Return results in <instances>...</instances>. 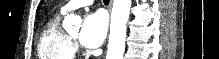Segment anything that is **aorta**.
<instances>
[{"instance_id": "aorta-1", "label": "aorta", "mask_w": 219, "mask_h": 59, "mask_svg": "<svg viewBox=\"0 0 219 59\" xmlns=\"http://www.w3.org/2000/svg\"><path fill=\"white\" fill-rule=\"evenodd\" d=\"M130 7L131 0H114L113 2L106 59H123ZM77 22L78 18L74 14H68L63 21V26L68 28Z\"/></svg>"}]
</instances>
